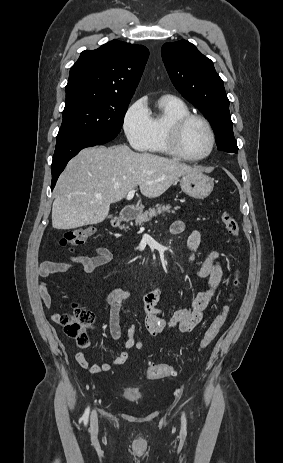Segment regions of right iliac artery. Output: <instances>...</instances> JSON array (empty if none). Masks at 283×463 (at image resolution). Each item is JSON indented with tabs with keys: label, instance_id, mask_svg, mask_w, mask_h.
I'll use <instances>...</instances> for the list:
<instances>
[{
	"label": "right iliac artery",
	"instance_id": "82829eb1",
	"mask_svg": "<svg viewBox=\"0 0 283 463\" xmlns=\"http://www.w3.org/2000/svg\"><path fill=\"white\" fill-rule=\"evenodd\" d=\"M88 416H89V407L86 409V411H85V413H84V415H83V417H82V419H83L85 425H86L87 422H88Z\"/></svg>",
	"mask_w": 283,
	"mask_h": 463
}]
</instances>
